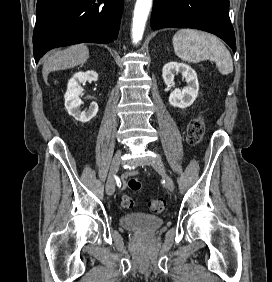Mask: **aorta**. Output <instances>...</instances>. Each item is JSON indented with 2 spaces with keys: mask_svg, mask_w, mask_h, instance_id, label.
<instances>
[{
  "mask_svg": "<svg viewBox=\"0 0 272 282\" xmlns=\"http://www.w3.org/2000/svg\"><path fill=\"white\" fill-rule=\"evenodd\" d=\"M152 6V0H137L132 23V39L135 44L141 41L145 24Z\"/></svg>",
  "mask_w": 272,
  "mask_h": 282,
  "instance_id": "762f6f07",
  "label": "aorta"
}]
</instances>
